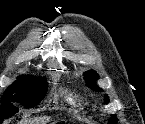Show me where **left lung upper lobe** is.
I'll list each match as a JSON object with an SVG mask.
<instances>
[{
	"mask_svg": "<svg viewBox=\"0 0 145 124\" xmlns=\"http://www.w3.org/2000/svg\"><path fill=\"white\" fill-rule=\"evenodd\" d=\"M85 79L87 80V85L93 89L94 91H102L95 83L94 81L98 79V74L94 71H87L84 73ZM105 102H109V98L107 95H105ZM112 121L117 120L115 117L111 118Z\"/></svg>",
	"mask_w": 145,
	"mask_h": 124,
	"instance_id": "left-lung-upper-lobe-1",
	"label": "left lung upper lobe"
}]
</instances>
